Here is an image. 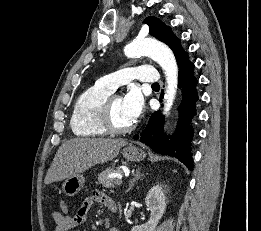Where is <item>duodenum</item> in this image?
Segmentation results:
<instances>
[{
  "mask_svg": "<svg viewBox=\"0 0 261 231\" xmlns=\"http://www.w3.org/2000/svg\"><path fill=\"white\" fill-rule=\"evenodd\" d=\"M109 208H110L111 210H115V209H116V204H115V203H111V204L109 205Z\"/></svg>",
  "mask_w": 261,
  "mask_h": 231,
  "instance_id": "duodenum-1",
  "label": "duodenum"
}]
</instances>
